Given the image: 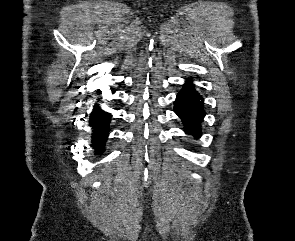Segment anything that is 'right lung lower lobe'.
Listing matches in <instances>:
<instances>
[{"mask_svg":"<svg viewBox=\"0 0 295 241\" xmlns=\"http://www.w3.org/2000/svg\"><path fill=\"white\" fill-rule=\"evenodd\" d=\"M110 121L111 115L102 111L99 104H95L89 118V125L93 127L92 147L95 149V154L104 151Z\"/></svg>","mask_w":295,"mask_h":241,"instance_id":"obj_1","label":"right lung lower lobe"}]
</instances>
